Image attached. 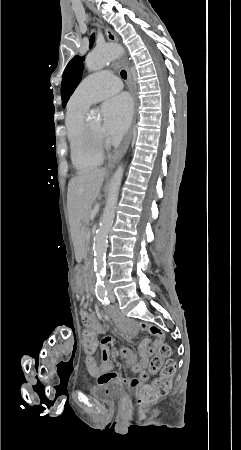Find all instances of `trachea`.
I'll list each match as a JSON object with an SVG mask.
<instances>
[{
    "mask_svg": "<svg viewBox=\"0 0 241 450\" xmlns=\"http://www.w3.org/2000/svg\"><path fill=\"white\" fill-rule=\"evenodd\" d=\"M121 77L122 78H127V72H125V70L121 71Z\"/></svg>",
    "mask_w": 241,
    "mask_h": 450,
    "instance_id": "trachea-1",
    "label": "trachea"
}]
</instances>
